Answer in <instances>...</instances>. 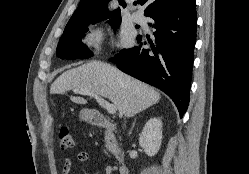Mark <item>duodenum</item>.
<instances>
[{
	"label": "duodenum",
	"mask_w": 249,
	"mask_h": 174,
	"mask_svg": "<svg viewBox=\"0 0 249 174\" xmlns=\"http://www.w3.org/2000/svg\"><path fill=\"white\" fill-rule=\"evenodd\" d=\"M90 119L93 125L104 128L108 131L109 142L113 146L114 155L116 159L118 160V166H117L118 174H129L130 170H129L128 165L125 162L123 150L121 149L117 141V137L119 135V128L117 124L105 118L99 112H93L90 116Z\"/></svg>",
	"instance_id": "1"
}]
</instances>
